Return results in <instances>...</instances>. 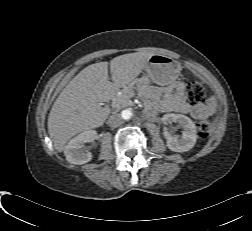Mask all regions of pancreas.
<instances>
[{
  "instance_id": "pancreas-1",
  "label": "pancreas",
  "mask_w": 252,
  "mask_h": 231,
  "mask_svg": "<svg viewBox=\"0 0 252 231\" xmlns=\"http://www.w3.org/2000/svg\"><path fill=\"white\" fill-rule=\"evenodd\" d=\"M148 83H145L142 87H144L145 90H151V87L147 86ZM129 90H122V93L117 96L114 100L115 108L116 110H119L123 107H126L130 105V97L128 95Z\"/></svg>"
}]
</instances>
